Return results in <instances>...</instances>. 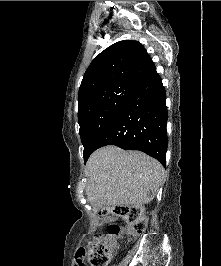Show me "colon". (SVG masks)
<instances>
[{
    "instance_id": "colon-1",
    "label": "colon",
    "mask_w": 221,
    "mask_h": 266,
    "mask_svg": "<svg viewBox=\"0 0 221 266\" xmlns=\"http://www.w3.org/2000/svg\"><path fill=\"white\" fill-rule=\"evenodd\" d=\"M103 215H113L127 223L126 228L110 225L106 235H95L86 243L85 263L88 266H107L117 248V238L136 237L144 233L147 219L140 205H121L102 211Z\"/></svg>"
}]
</instances>
